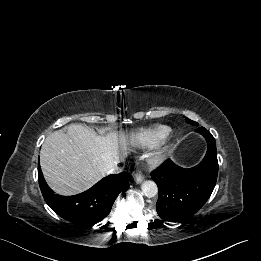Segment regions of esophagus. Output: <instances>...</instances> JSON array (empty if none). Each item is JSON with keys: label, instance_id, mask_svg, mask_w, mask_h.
Instances as JSON below:
<instances>
[{"label": "esophagus", "instance_id": "34e87169", "mask_svg": "<svg viewBox=\"0 0 261 261\" xmlns=\"http://www.w3.org/2000/svg\"><path fill=\"white\" fill-rule=\"evenodd\" d=\"M133 177L137 183H141L144 180V176L141 172H136Z\"/></svg>", "mask_w": 261, "mask_h": 261}]
</instances>
